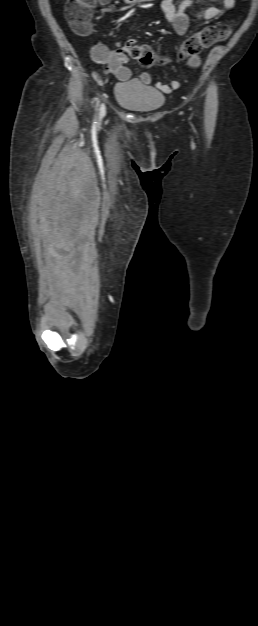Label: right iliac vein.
<instances>
[{"mask_svg":"<svg viewBox=\"0 0 258 626\" xmlns=\"http://www.w3.org/2000/svg\"><path fill=\"white\" fill-rule=\"evenodd\" d=\"M100 110H101V115H103V113H104V111H105V106H104V105H102Z\"/></svg>","mask_w":258,"mask_h":626,"instance_id":"63e3f726","label":"right iliac vein"}]
</instances>
